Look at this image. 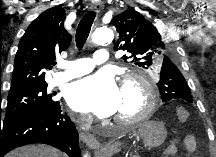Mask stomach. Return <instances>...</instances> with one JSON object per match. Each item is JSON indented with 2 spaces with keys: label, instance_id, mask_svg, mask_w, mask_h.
Here are the masks:
<instances>
[{
  "label": "stomach",
  "instance_id": "stomach-1",
  "mask_svg": "<svg viewBox=\"0 0 216 157\" xmlns=\"http://www.w3.org/2000/svg\"><path fill=\"white\" fill-rule=\"evenodd\" d=\"M134 134L142 138L146 147L156 148L163 144L167 131L162 122L148 121L142 123Z\"/></svg>",
  "mask_w": 216,
  "mask_h": 157
}]
</instances>
